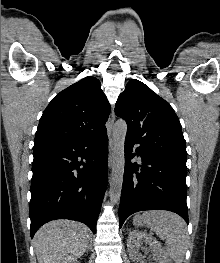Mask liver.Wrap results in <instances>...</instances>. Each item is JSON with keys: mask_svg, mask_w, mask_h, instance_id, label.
<instances>
[{"mask_svg": "<svg viewBox=\"0 0 220 263\" xmlns=\"http://www.w3.org/2000/svg\"><path fill=\"white\" fill-rule=\"evenodd\" d=\"M90 234L87 226L70 220H55L34 236L38 263H69L83 256Z\"/></svg>", "mask_w": 220, "mask_h": 263, "instance_id": "6515ba94", "label": "liver"}]
</instances>
